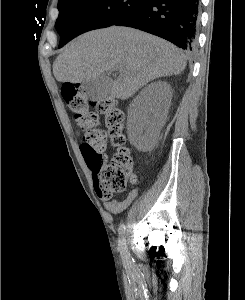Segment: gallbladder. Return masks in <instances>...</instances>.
I'll list each match as a JSON object with an SVG mask.
<instances>
[{
  "instance_id": "bac80fb5",
  "label": "gallbladder",
  "mask_w": 245,
  "mask_h": 300,
  "mask_svg": "<svg viewBox=\"0 0 245 300\" xmlns=\"http://www.w3.org/2000/svg\"><path fill=\"white\" fill-rule=\"evenodd\" d=\"M113 80L107 74L86 81L82 84V90L87 99L100 101L107 97L112 87Z\"/></svg>"
}]
</instances>
